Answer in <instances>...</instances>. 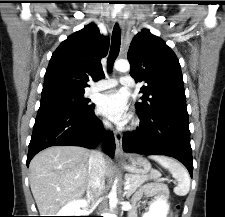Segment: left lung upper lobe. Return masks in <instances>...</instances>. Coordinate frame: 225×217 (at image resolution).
I'll use <instances>...</instances> for the list:
<instances>
[{
    "label": "left lung upper lobe",
    "instance_id": "5c2ea615",
    "mask_svg": "<svg viewBox=\"0 0 225 217\" xmlns=\"http://www.w3.org/2000/svg\"><path fill=\"white\" fill-rule=\"evenodd\" d=\"M128 60L130 75L146 83L135 107L141 114L161 109L185 108L186 97L179 61L170 47L159 37L143 29L132 40Z\"/></svg>",
    "mask_w": 225,
    "mask_h": 217
}]
</instances>
